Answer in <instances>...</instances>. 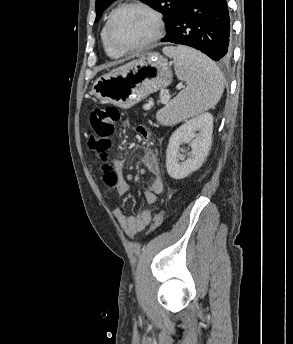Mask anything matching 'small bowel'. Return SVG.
I'll list each match as a JSON object with an SVG mask.
<instances>
[{"instance_id": "obj_1", "label": "small bowel", "mask_w": 293, "mask_h": 344, "mask_svg": "<svg viewBox=\"0 0 293 344\" xmlns=\"http://www.w3.org/2000/svg\"><path fill=\"white\" fill-rule=\"evenodd\" d=\"M139 163L152 175L150 187L144 191V200L147 204L153 205L157 201V196L163 190V181L160 176V167L155 153L148 148H143L137 152ZM104 180L109 184L115 185L116 192L119 195H126L129 192L130 185L127 177L124 175V163L118 162L113 166L105 165L103 167ZM115 219L125 233L132 237L136 233L144 230L151 219L150 208L139 212L136 215H128L122 208H116L113 212Z\"/></svg>"}]
</instances>
